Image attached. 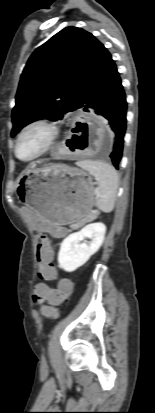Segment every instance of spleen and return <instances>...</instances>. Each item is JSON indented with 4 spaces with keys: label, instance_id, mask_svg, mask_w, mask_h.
Wrapping results in <instances>:
<instances>
[{
    "label": "spleen",
    "instance_id": "1",
    "mask_svg": "<svg viewBox=\"0 0 155 413\" xmlns=\"http://www.w3.org/2000/svg\"><path fill=\"white\" fill-rule=\"evenodd\" d=\"M77 166L89 172L97 181V207L104 213L114 209L118 189V174L115 168L106 162L83 160Z\"/></svg>",
    "mask_w": 155,
    "mask_h": 413
}]
</instances>
